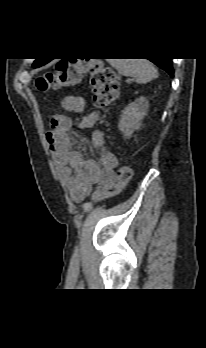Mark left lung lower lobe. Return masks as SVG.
Listing matches in <instances>:
<instances>
[{
    "instance_id": "1",
    "label": "left lung lower lobe",
    "mask_w": 206,
    "mask_h": 348,
    "mask_svg": "<svg viewBox=\"0 0 206 348\" xmlns=\"http://www.w3.org/2000/svg\"><path fill=\"white\" fill-rule=\"evenodd\" d=\"M154 64L168 72L171 76H173V68L171 58H157V59H149Z\"/></svg>"
}]
</instances>
